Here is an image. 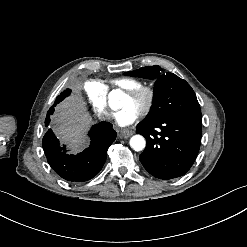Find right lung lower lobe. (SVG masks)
I'll return each instance as SVG.
<instances>
[{
  "label": "right lung lower lobe",
  "mask_w": 247,
  "mask_h": 247,
  "mask_svg": "<svg viewBox=\"0 0 247 247\" xmlns=\"http://www.w3.org/2000/svg\"><path fill=\"white\" fill-rule=\"evenodd\" d=\"M71 91L66 89L54 102L47 113L46 127L50 123V115L54 112L56 104L70 95ZM91 143L88 148L77 155H68L65 146L59 143L52 129L49 128L42 140V146L47 161L51 168L63 179L71 182H84L92 179L102 169L107 150L116 138V131L109 122L95 124L89 131Z\"/></svg>",
  "instance_id": "98d812e1"
}]
</instances>
